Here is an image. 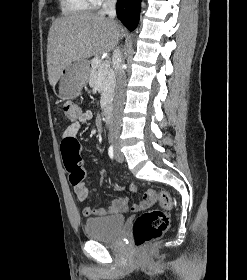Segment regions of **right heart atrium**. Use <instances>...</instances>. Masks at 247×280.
<instances>
[{
  "mask_svg": "<svg viewBox=\"0 0 247 280\" xmlns=\"http://www.w3.org/2000/svg\"><path fill=\"white\" fill-rule=\"evenodd\" d=\"M104 0H91V2L93 3V5H98L100 3H102Z\"/></svg>",
  "mask_w": 247,
  "mask_h": 280,
  "instance_id": "right-heart-atrium-1",
  "label": "right heart atrium"
}]
</instances>
